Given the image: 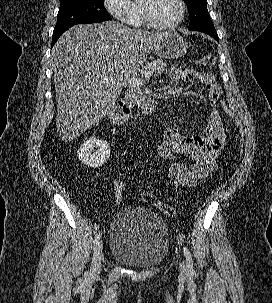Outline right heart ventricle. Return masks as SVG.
I'll list each match as a JSON object with an SVG mask.
<instances>
[{
    "label": "right heart ventricle",
    "instance_id": "e07e8e85",
    "mask_svg": "<svg viewBox=\"0 0 272 303\" xmlns=\"http://www.w3.org/2000/svg\"><path fill=\"white\" fill-rule=\"evenodd\" d=\"M132 25L139 26L141 25L144 20L142 16V11H141V0H134L132 2Z\"/></svg>",
    "mask_w": 272,
    "mask_h": 303
}]
</instances>
